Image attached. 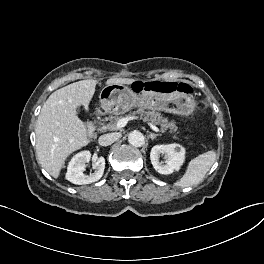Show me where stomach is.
<instances>
[{"label":"stomach","instance_id":"obj_1","mask_svg":"<svg viewBox=\"0 0 264 264\" xmlns=\"http://www.w3.org/2000/svg\"><path fill=\"white\" fill-rule=\"evenodd\" d=\"M99 99L100 107L97 111L100 114L120 115L135 107H140L189 116L196 109V101L193 96L178 92L162 93L153 90H142L140 93H136L122 84L105 86L100 92Z\"/></svg>","mask_w":264,"mask_h":264}]
</instances>
